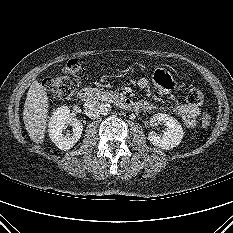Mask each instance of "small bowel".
Wrapping results in <instances>:
<instances>
[{
  "mask_svg": "<svg viewBox=\"0 0 233 233\" xmlns=\"http://www.w3.org/2000/svg\"><path fill=\"white\" fill-rule=\"evenodd\" d=\"M153 81L160 87L165 93L170 94L175 87V83L171 75L163 69H157L153 74ZM138 86L141 89H146L149 86V79L142 77L138 80ZM139 108L143 111H152L157 109L156 106L147 102L139 101ZM175 112L181 118L183 124L192 128L196 124V118L200 113L198 106L189 104L188 102H178L175 105Z\"/></svg>",
  "mask_w": 233,
  "mask_h": 233,
  "instance_id": "1",
  "label": "small bowel"
}]
</instances>
